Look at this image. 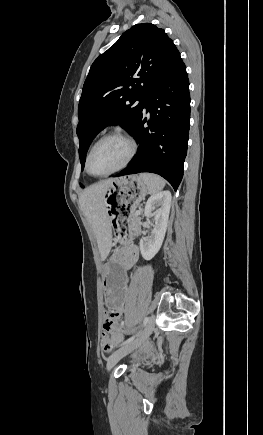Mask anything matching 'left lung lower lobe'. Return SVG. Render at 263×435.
Returning a JSON list of instances; mask_svg holds the SVG:
<instances>
[{
	"label": "left lung lower lobe",
	"instance_id": "1",
	"mask_svg": "<svg viewBox=\"0 0 263 435\" xmlns=\"http://www.w3.org/2000/svg\"><path fill=\"white\" fill-rule=\"evenodd\" d=\"M149 127L142 114L132 135L139 149L129 167L117 176L151 172L164 177L177 190L187 154L190 125L189 80L182 59L147 97ZM143 111V110H142Z\"/></svg>",
	"mask_w": 263,
	"mask_h": 435
}]
</instances>
